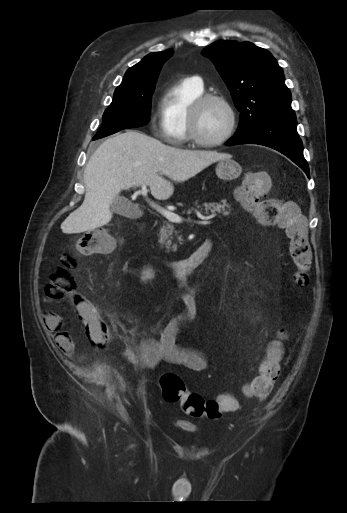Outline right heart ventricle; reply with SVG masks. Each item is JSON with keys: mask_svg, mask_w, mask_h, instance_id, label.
<instances>
[{"mask_svg": "<svg viewBox=\"0 0 347 513\" xmlns=\"http://www.w3.org/2000/svg\"><path fill=\"white\" fill-rule=\"evenodd\" d=\"M204 93L203 86L190 78L170 84L164 91L161 102V122L167 140L182 145L189 140L187 115L191 103Z\"/></svg>", "mask_w": 347, "mask_h": 513, "instance_id": "obj_1", "label": "right heart ventricle"}]
</instances>
